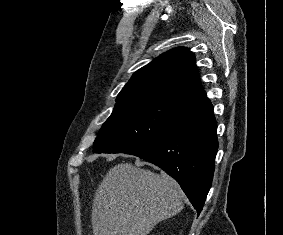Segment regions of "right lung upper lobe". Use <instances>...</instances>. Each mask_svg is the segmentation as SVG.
<instances>
[{"mask_svg":"<svg viewBox=\"0 0 283 235\" xmlns=\"http://www.w3.org/2000/svg\"><path fill=\"white\" fill-rule=\"evenodd\" d=\"M204 96L194 55L186 48H175L139 69L116 102L169 100L189 104Z\"/></svg>","mask_w":283,"mask_h":235,"instance_id":"1","label":"right lung upper lobe"}]
</instances>
